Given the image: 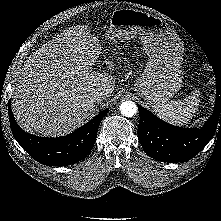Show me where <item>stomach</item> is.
<instances>
[{
	"label": "stomach",
	"instance_id": "stomach-1",
	"mask_svg": "<svg viewBox=\"0 0 221 221\" xmlns=\"http://www.w3.org/2000/svg\"><path fill=\"white\" fill-rule=\"evenodd\" d=\"M105 37L111 41H129L139 34L149 57L134 91L149 104L167 103L181 88L183 43L161 18L131 8L114 10Z\"/></svg>",
	"mask_w": 221,
	"mask_h": 221
}]
</instances>
